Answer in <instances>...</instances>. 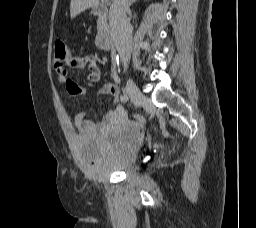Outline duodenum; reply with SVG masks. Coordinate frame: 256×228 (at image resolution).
I'll use <instances>...</instances> for the list:
<instances>
[{
    "label": "duodenum",
    "mask_w": 256,
    "mask_h": 228,
    "mask_svg": "<svg viewBox=\"0 0 256 228\" xmlns=\"http://www.w3.org/2000/svg\"><path fill=\"white\" fill-rule=\"evenodd\" d=\"M108 12V3H96L92 6V14L94 16L104 18ZM97 45L104 49L109 50L113 45L112 34L110 29L103 25L96 36Z\"/></svg>",
    "instance_id": "1"
}]
</instances>
